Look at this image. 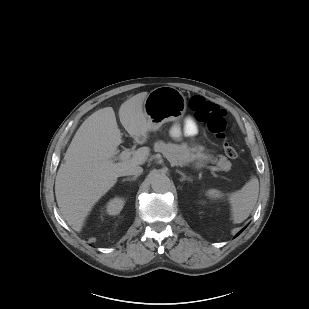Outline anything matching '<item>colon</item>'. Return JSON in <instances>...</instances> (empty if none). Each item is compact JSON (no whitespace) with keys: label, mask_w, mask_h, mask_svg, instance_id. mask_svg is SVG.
Listing matches in <instances>:
<instances>
[{"label":"colon","mask_w":309,"mask_h":309,"mask_svg":"<svg viewBox=\"0 0 309 309\" xmlns=\"http://www.w3.org/2000/svg\"><path fill=\"white\" fill-rule=\"evenodd\" d=\"M189 108L194 117L206 124L207 128L219 139L223 140V148L227 157L237 158V149L226 141V112L219 105L205 99L202 96H193L189 101Z\"/></svg>","instance_id":"5ec220e1"}]
</instances>
